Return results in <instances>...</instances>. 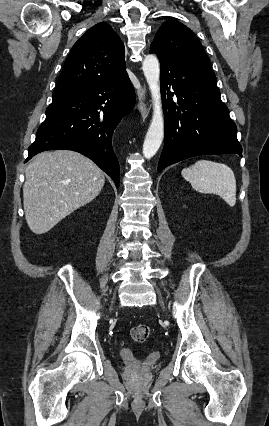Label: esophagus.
Here are the masks:
<instances>
[{"label":"esophagus","mask_w":269,"mask_h":426,"mask_svg":"<svg viewBox=\"0 0 269 426\" xmlns=\"http://www.w3.org/2000/svg\"><path fill=\"white\" fill-rule=\"evenodd\" d=\"M138 97H139V101H140V108L143 112L144 117L148 116L150 107L148 106V103H146V89L145 88H141L138 91Z\"/></svg>","instance_id":"esophagus-1"}]
</instances>
